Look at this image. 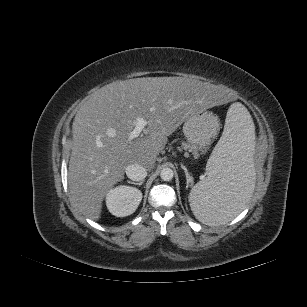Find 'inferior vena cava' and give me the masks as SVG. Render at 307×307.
<instances>
[{
	"label": "inferior vena cava",
	"mask_w": 307,
	"mask_h": 307,
	"mask_svg": "<svg viewBox=\"0 0 307 307\" xmlns=\"http://www.w3.org/2000/svg\"><path fill=\"white\" fill-rule=\"evenodd\" d=\"M126 175L133 181H142L147 176V170L140 164H130L125 169Z\"/></svg>",
	"instance_id": "1"
}]
</instances>
